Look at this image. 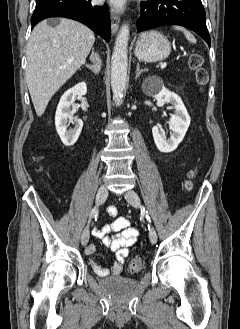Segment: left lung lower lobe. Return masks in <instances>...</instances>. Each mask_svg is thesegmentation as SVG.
I'll list each match as a JSON object with an SVG mask.
<instances>
[{
    "mask_svg": "<svg viewBox=\"0 0 240 329\" xmlns=\"http://www.w3.org/2000/svg\"><path fill=\"white\" fill-rule=\"evenodd\" d=\"M205 22L201 0H147L141 1L137 33L168 24L179 25L197 33L210 46Z\"/></svg>",
    "mask_w": 240,
    "mask_h": 329,
    "instance_id": "1",
    "label": "left lung lower lobe"
}]
</instances>
